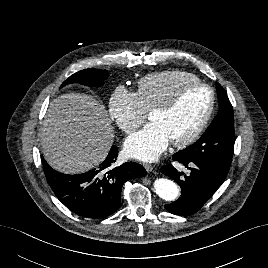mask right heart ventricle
Instances as JSON below:
<instances>
[{
    "label": "right heart ventricle",
    "mask_w": 268,
    "mask_h": 268,
    "mask_svg": "<svg viewBox=\"0 0 268 268\" xmlns=\"http://www.w3.org/2000/svg\"><path fill=\"white\" fill-rule=\"evenodd\" d=\"M199 81V78L184 70H162L149 73L137 81V93L144 107L151 110L164 103L182 84Z\"/></svg>",
    "instance_id": "1"
}]
</instances>
